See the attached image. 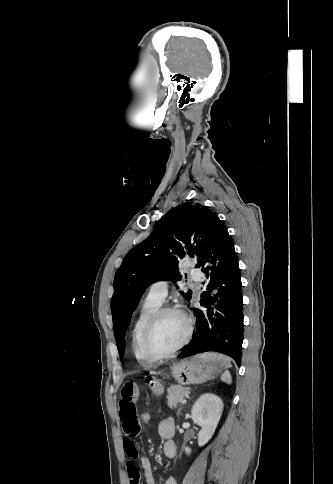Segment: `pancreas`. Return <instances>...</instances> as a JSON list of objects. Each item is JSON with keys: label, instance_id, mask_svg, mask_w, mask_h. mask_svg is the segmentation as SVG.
Segmentation results:
<instances>
[{"label": "pancreas", "instance_id": "cf45deb5", "mask_svg": "<svg viewBox=\"0 0 333 484\" xmlns=\"http://www.w3.org/2000/svg\"><path fill=\"white\" fill-rule=\"evenodd\" d=\"M168 405L170 407H173L177 405L178 403L182 402L185 397L188 396L189 391L186 387H183L181 385H171L168 389Z\"/></svg>", "mask_w": 333, "mask_h": 484}]
</instances>
